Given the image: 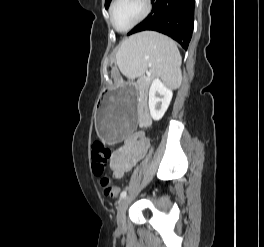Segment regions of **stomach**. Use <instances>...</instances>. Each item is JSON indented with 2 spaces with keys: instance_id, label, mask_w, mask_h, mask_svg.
<instances>
[{
  "instance_id": "stomach-1",
  "label": "stomach",
  "mask_w": 264,
  "mask_h": 247,
  "mask_svg": "<svg viewBox=\"0 0 264 247\" xmlns=\"http://www.w3.org/2000/svg\"><path fill=\"white\" fill-rule=\"evenodd\" d=\"M119 67V64H116ZM97 101L96 123L100 136L107 142L126 141L137 131L138 108L135 90L130 82L120 83L116 90H101Z\"/></svg>"
}]
</instances>
